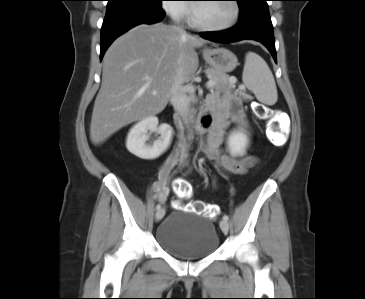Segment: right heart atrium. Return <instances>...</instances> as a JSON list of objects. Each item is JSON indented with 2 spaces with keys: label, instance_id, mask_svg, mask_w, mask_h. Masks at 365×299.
<instances>
[{
  "label": "right heart atrium",
  "instance_id": "right-heart-atrium-1",
  "mask_svg": "<svg viewBox=\"0 0 365 299\" xmlns=\"http://www.w3.org/2000/svg\"><path fill=\"white\" fill-rule=\"evenodd\" d=\"M184 0H164L163 9L174 20H185L190 13L189 6Z\"/></svg>",
  "mask_w": 365,
  "mask_h": 299
}]
</instances>
